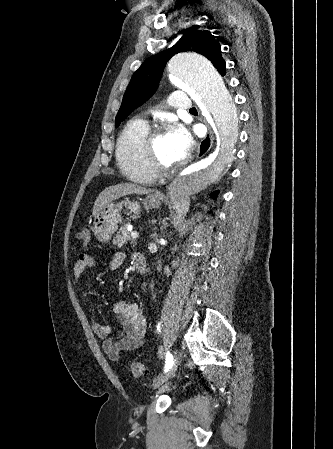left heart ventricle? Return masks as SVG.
I'll use <instances>...</instances> for the list:
<instances>
[{
    "label": "left heart ventricle",
    "mask_w": 333,
    "mask_h": 449,
    "mask_svg": "<svg viewBox=\"0 0 333 449\" xmlns=\"http://www.w3.org/2000/svg\"><path fill=\"white\" fill-rule=\"evenodd\" d=\"M155 151L159 160L167 165L173 166L177 164V159L172 151L167 133H163L155 139Z\"/></svg>",
    "instance_id": "left-heart-ventricle-1"
}]
</instances>
